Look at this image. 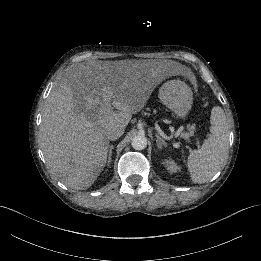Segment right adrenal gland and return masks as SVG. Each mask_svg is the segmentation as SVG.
I'll return each instance as SVG.
<instances>
[{"mask_svg":"<svg viewBox=\"0 0 261 261\" xmlns=\"http://www.w3.org/2000/svg\"><path fill=\"white\" fill-rule=\"evenodd\" d=\"M114 149L113 145L109 146V154H108V161H107V165L109 166L111 161H112V150Z\"/></svg>","mask_w":261,"mask_h":261,"instance_id":"right-adrenal-gland-1","label":"right adrenal gland"}]
</instances>
